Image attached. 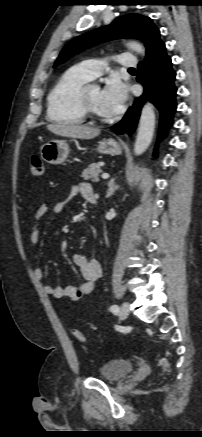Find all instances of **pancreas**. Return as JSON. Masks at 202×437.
<instances>
[{
    "instance_id": "cf45deb5",
    "label": "pancreas",
    "mask_w": 202,
    "mask_h": 437,
    "mask_svg": "<svg viewBox=\"0 0 202 437\" xmlns=\"http://www.w3.org/2000/svg\"><path fill=\"white\" fill-rule=\"evenodd\" d=\"M101 173V166L99 163H92L82 172L84 180H90L92 182L99 181V174Z\"/></svg>"
}]
</instances>
